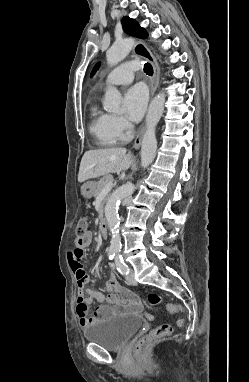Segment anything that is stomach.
<instances>
[{"label":"stomach","mask_w":249,"mask_h":382,"mask_svg":"<svg viewBox=\"0 0 249 382\" xmlns=\"http://www.w3.org/2000/svg\"><path fill=\"white\" fill-rule=\"evenodd\" d=\"M96 183L93 181H88L84 183L81 187V193L85 198H91L95 195Z\"/></svg>","instance_id":"obj_1"}]
</instances>
